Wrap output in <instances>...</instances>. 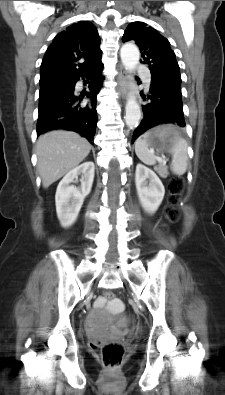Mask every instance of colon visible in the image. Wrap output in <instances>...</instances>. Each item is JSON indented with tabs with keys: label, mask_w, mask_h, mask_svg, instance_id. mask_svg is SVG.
I'll use <instances>...</instances> for the list:
<instances>
[{
	"label": "colon",
	"mask_w": 225,
	"mask_h": 395,
	"mask_svg": "<svg viewBox=\"0 0 225 395\" xmlns=\"http://www.w3.org/2000/svg\"><path fill=\"white\" fill-rule=\"evenodd\" d=\"M168 189L169 204L164 210V216L167 223H175L179 218L176 204L178 203L184 190L183 179L180 177L171 179ZM160 229L165 230L166 224H161ZM104 294L109 302L110 300H113L114 296L109 289H106ZM93 347L99 351L103 364L110 369H115L122 363L126 352L125 345L120 340L95 342Z\"/></svg>",
	"instance_id": "obj_1"
}]
</instances>
